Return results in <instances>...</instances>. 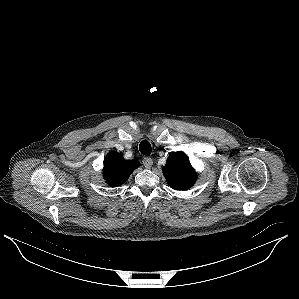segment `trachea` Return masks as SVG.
Segmentation results:
<instances>
[{"instance_id": "3493384b", "label": "trachea", "mask_w": 299, "mask_h": 299, "mask_svg": "<svg viewBox=\"0 0 299 299\" xmlns=\"http://www.w3.org/2000/svg\"><path fill=\"white\" fill-rule=\"evenodd\" d=\"M139 150L143 155L149 156L151 154V145L147 140H143L139 145Z\"/></svg>"}]
</instances>
